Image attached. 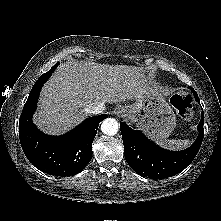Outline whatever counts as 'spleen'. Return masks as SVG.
Returning <instances> with one entry per match:
<instances>
[{"label":"spleen","mask_w":221,"mask_h":221,"mask_svg":"<svg viewBox=\"0 0 221 221\" xmlns=\"http://www.w3.org/2000/svg\"><path fill=\"white\" fill-rule=\"evenodd\" d=\"M159 145L170 149V150H180V149H184L186 147L189 146L190 141L189 140H162L158 142Z\"/></svg>","instance_id":"spleen-1"}]
</instances>
